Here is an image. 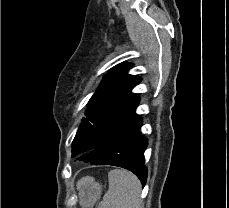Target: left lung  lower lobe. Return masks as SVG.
Wrapping results in <instances>:
<instances>
[{
	"instance_id": "obj_1",
	"label": "left lung lower lobe",
	"mask_w": 229,
	"mask_h": 208,
	"mask_svg": "<svg viewBox=\"0 0 229 208\" xmlns=\"http://www.w3.org/2000/svg\"><path fill=\"white\" fill-rule=\"evenodd\" d=\"M141 118L130 129L102 130L72 149V157L93 150L79 158L94 165H113L133 172L144 187L147 181V167L144 165V151L148 142L141 134Z\"/></svg>"
}]
</instances>
